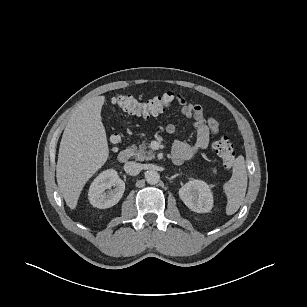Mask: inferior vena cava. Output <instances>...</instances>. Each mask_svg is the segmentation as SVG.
Instances as JSON below:
<instances>
[{
	"instance_id": "602c4592",
	"label": "inferior vena cava",
	"mask_w": 307,
	"mask_h": 307,
	"mask_svg": "<svg viewBox=\"0 0 307 307\" xmlns=\"http://www.w3.org/2000/svg\"><path fill=\"white\" fill-rule=\"evenodd\" d=\"M124 170L129 175L136 176L142 170V166H141V164L136 163L134 161H129V162L125 163Z\"/></svg>"
}]
</instances>
